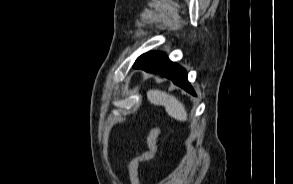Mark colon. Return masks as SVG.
<instances>
[{"mask_svg":"<svg viewBox=\"0 0 293 184\" xmlns=\"http://www.w3.org/2000/svg\"><path fill=\"white\" fill-rule=\"evenodd\" d=\"M160 133L161 129L159 126L153 127L147 137V150L133 158L130 162L129 175L131 184H142L139 177V167L141 164L154 158L157 152V144Z\"/></svg>","mask_w":293,"mask_h":184,"instance_id":"obj_1","label":"colon"}]
</instances>
